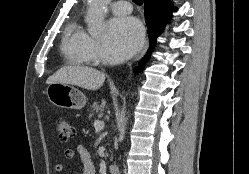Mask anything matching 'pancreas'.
<instances>
[{
    "label": "pancreas",
    "instance_id": "pancreas-1",
    "mask_svg": "<svg viewBox=\"0 0 249 174\" xmlns=\"http://www.w3.org/2000/svg\"><path fill=\"white\" fill-rule=\"evenodd\" d=\"M90 114L89 117H93L95 113H98L99 116L102 115L103 113V107L99 105L97 102H94L93 104L90 105Z\"/></svg>",
    "mask_w": 249,
    "mask_h": 174
}]
</instances>
